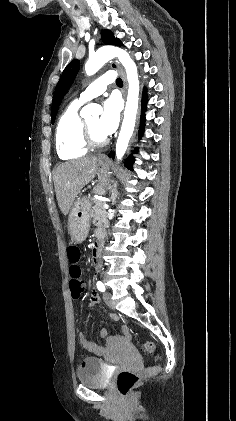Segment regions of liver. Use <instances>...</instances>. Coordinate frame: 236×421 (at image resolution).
Instances as JSON below:
<instances>
[{
	"mask_svg": "<svg viewBox=\"0 0 236 421\" xmlns=\"http://www.w3.org/2000/svg\"><path fill=\"white\" fill-rule=\"evenodd\" d=\"M97 160L96 156H86L74 162H62L54 168L56 198L63 215L70 213L75 196L94 178L98 166Z\"/></svg>",
	"mask_w": 236,
	"mask_h": 421,
	"instance_id": "1",
	"label": "liver"
}]
</instances>
